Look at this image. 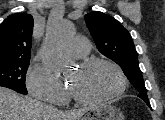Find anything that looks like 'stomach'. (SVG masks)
Segmentation results:
<instances>
[{
	"label": "stomach",
	"mask_w": 165,
	"mask_h": 120,
	"mask_svg": "<svg viewBox=\"0 0 165 120\" xmlns=\"http://www.w3.org/2000/svg\"><path fill=\"white\" fill-rule=\"evenodd\" d=\"M78 120H125L120 109L113 105L104 104L86 110Z\"/></svg>",
	"instance_id": "1"
}]
</instances>
